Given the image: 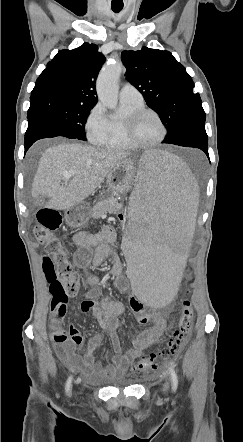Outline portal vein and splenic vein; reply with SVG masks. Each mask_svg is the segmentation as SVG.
Instances as JSON below:
<instances>
[{
	"label": "portal vein and splenic vein",
	"mask_w": 243,
	"mask_h": 442,
	"mask_svg": "<svg viewBox=\"0 0 243 442\" xmlns=\"http://www.w3.org/2000/svg\"><path fill=\"white\" fill-rule=\"evenodd\" d=\"M73 175H75V171H73V170H69V171H67V172H65V173L63 174V177H64L65 180H68V179L71 178Z\"/></svg>",
	"instance_id": "obj_1"
}]
</instances>
